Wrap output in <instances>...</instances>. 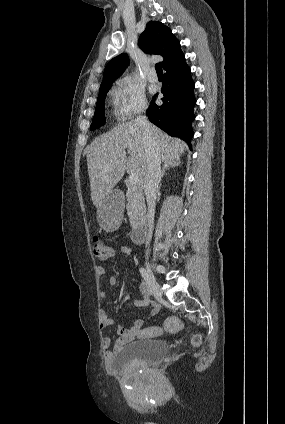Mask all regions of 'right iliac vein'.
<instances>
[{"mask_svg":"<svg viewBox=\"0 0 285 424\" xmlns=\"http://www.w3.org/2000/svg\"><path fill=\"white\" fill-rule=\"evenodd\" d=\"M147 272H148V275H149V282H150V286L152 288V291H153L155 297L158 300H160L162 298V291H161V288H160L159 284L157 283L156 279L152 275L149 265H147Z\"/></svg>","mask_w":285,"mask_h":424,"instance_id":"obj_1","label":"right iliac vein"}]
</instances>
